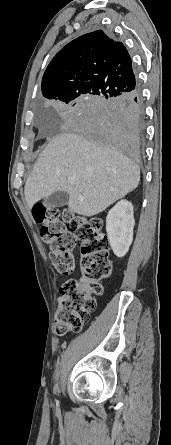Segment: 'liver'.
Wrapping results in <instances>:
<instances>
[{"label": "liver", "instance_id": "1", "mask_svg": "<svg viewBox=\"0 0 171 445\" xmlns=\"http://www.w3.org/2000/svg\"><path fill=\"white\" fill-rule=\"evenodd\" d=\"M74 178V184L68 182ZM140 169L108 143L66 132L54 137L39 156L24 194L29 209L57 191L69 195V209L94 216L137 188Z\"/></svg>", "mask_w": 171, "mask_h": 445}]
</instances>
